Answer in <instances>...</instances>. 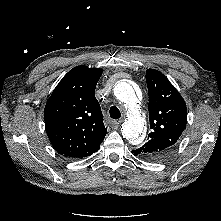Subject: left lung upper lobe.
Here are the masks:
<instances>
[{"label":"left lung upper lobe","instance_id":"left-lung-upper-lobe-1","mask_svg":"<svg viewBox=\"0 0 221 221\" xmlns=\"http://www.w3.org/2000/svg\"><path fill=\"white\" fill-rule=\"evenodd\" d=\"M146 82L152 132L148 141L132 152L143 159L157 161L172 151L186 128L187 108L179 92L161 72L148 69Z\"/></svg>","mask_w":221,"mask_h":221}]
</instances>
